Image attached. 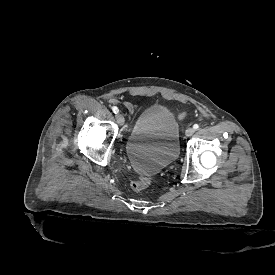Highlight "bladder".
<instances>
[{"mask_svg":"<svg viewBox=\"0 0 275 275\" xmlns=\"http://www.w3.org/2000/svg\"><path fill=\"white\" fill-rule=\"evenodd\" d=\"M179 123L167 104L153 103L143 109L128 140L130 162L143 174H156L180 153Z\"/></svg>","mask_w":275,"mask_h":275,"instance_id":"31cf9c89","label":"bladder"}]
</instances>
